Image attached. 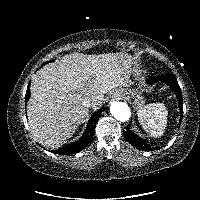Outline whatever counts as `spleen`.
<instances>
[{
    "label": "spleen",
    "instance_id": "1",
    "mask_svg": "<svg viewBox=\"0 0 200 200\" xmlns=\"http://www.w3.org/2000/svg\"><path fill=\"white\" fill-rule=\"evenodd\" d=\"M138 120L143 129L152 137H160L167 126L166 106L161 103H152L138 111Z\"/></svg>",
    "mask_w": 200,
    "mask_h": 200
}]
</instances>
